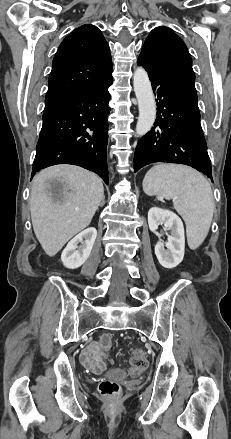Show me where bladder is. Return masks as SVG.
I'll use <instances>...</instances> for the list:
<instances>
[{
  "instance_id": "31cf9c89",
  "label": "bladder",
  "mask_w": 231,
  "mask_h": 439,
  "mask_svg": "<svg viewBox=\"0 0 231 439\" xmlns=\"http://www.w3.org/2000/svg\"><path fill=\"white\" fill-rule=\"evenodd\" d=\"M110 375L113 377L119 378V377H122L124 375V373L121 370H116V371H113L112 373H110Z\"/></svg>"
}]
</instances>
